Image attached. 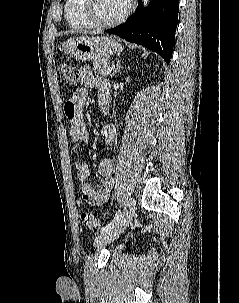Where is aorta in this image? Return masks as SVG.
I'll return each instance as SVG.
<instances>
[{
    "mask_svg": "<svg viewBox=\"0 0 239 303\" xmlns=\"http://www.w3.org/2000/svg\"><path fill=\"white\" fill-rule=\"evenodd\" d=\"M142 2H143V5L146 7V6H148L150 0H142Z\"/></svg>",
    "mask_w": 239,
    "mask_h": 303,
    "instance_id": "aorta-1",
    "label": "aorta"
}]
</instances>
